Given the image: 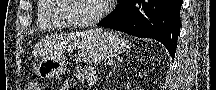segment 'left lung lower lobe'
<instances>
[{"label": "left lung lower lobe", "instance_id": "0a47b994", "mask_svg": "<svg viewBox=\"0 0 216 90\" xmlns=\"http://www.w3.org/2000/svg\"><path fill=\"white\" fill-rule=\"evenodd\" d=\"M182 0H118L117 8L97 26L153 38L175 56Z\"/></svg>", "mask_w": 216, "mask_h": 90}]
</instances>
